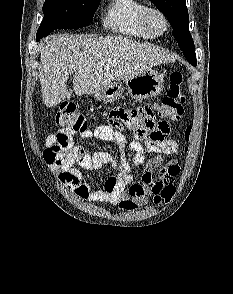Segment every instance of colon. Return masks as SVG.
<instances>
[{
    "label": "colon",
    "instance_id": "obj_1",
    "mask_svg": "<svg viewBox=\"0 0 233 294\" xmlns=\"http://www.w3.org/2000/svg\"><path fill=\"white\" fill-rule=\"evenodd\" d=\"M182 81L183 76L180 71L171 73L169 88L158 108L159 115L166 120H178L184 113L185 96L181 89ZM56 122L61 126V129L55 134L54 144L48 151V156L54 158L59 155H66L72 150V134L82 133L88 129L85 117L73 103L60 105L56 114ZM189 133L190 128L186 130V139H188ZM174 193V187H164L154 196V202L157 204L169 202Z\"/></svg>",
    "mask_w": 233,
    "mask_h": 294
}]
</instances>
